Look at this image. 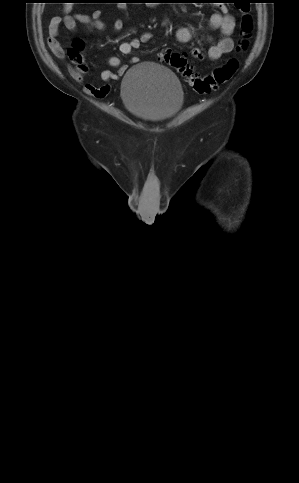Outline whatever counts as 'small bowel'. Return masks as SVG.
<instances>
[{
  "instance_id": "c3829d8e",
  "label": "small bowel",
  "mask_w": 299,
  "mask_h": 483,
  "mask_svg": "<svg viewBox=\"0 0 299 483\" xmlns=\"http://www.w3.org/2000/svg\"><path fill=\"white\" fill-rule=\"evenodd\" d=\"M122 9L126 10L125 7H122ZM102 16L103 12L101 10H96L91 15L74 14L65 17L52 18L49 23V35L47 38L50 50L60 59L65 57L64 49L58 40L59 30L62 24L68 30L72 31L76 30L79 25L102 31L106 27L105 22L102 20ZM210 26L214 29H218L221 35L220 39L216 43L211 44L208 48L209 59L215 61L220 59L223 55L231 53L234 47V42L231 36L235 30V21L234 18L227 13V7L225 5H220L218 11L210 16ZM112 29L117 32L121 31L123 29V22L119 19L115 20L112 23ZM175 37L180 43H188L193 37V31L188 27L182 26L176 30ZM152 39V32H144L138 38L121 42L119 44V51L121 54L128 55L133 50L139 48L144 43L150 42ZM191 55L199 60L204 58L203 52L197 47L191 50ZM138 62V57H132L130 59L131 64H137ZM108 65L111 67H118V72L113 73L110 70H104L101 73V80L104 82L119 79V77L123 76L128 69V66L122 65L121 60L116 56L108 59ZM85 90L88 94L97 98H104L110 91V85L104 84L102 86H95L91 83H87L85 85Z\"/></svg>"
}]
</instances>
